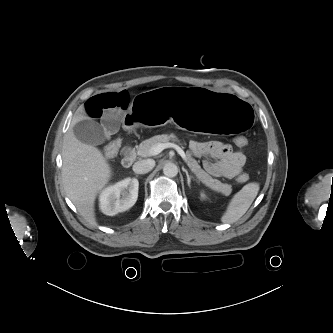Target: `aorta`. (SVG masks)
<instances>
[{"label": "aorta", "mask_w": 333, "mask_h": 333, "mask_svg": "<svg viewBox=\"0 0 333 333\" xmlns=\"http://www.w3.org/2000/svg\"><path fill=\"white\" fill-rule=\"evenodd\" d=\"M163 173L167 177H175L178 174V167L174 163H167L163 167Z\"/></svg>", "instance_id": "aorta-1"}]
</instances>
